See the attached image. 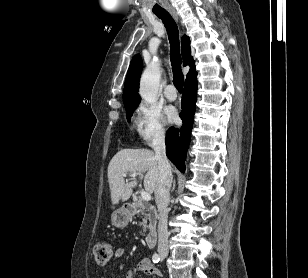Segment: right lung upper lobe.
<instances>
[{"label":"right lung upper lobe","instance_id":"cb5924a9","mask_svg":"<svg viewBox=\"0 0 308 278\" xmlns=\"http://www.w3.org/2000/svg\"><path fill=\"white\" fill-rule=\"evenodd\" d=\"M181 52L183 57L184 66L187 65L189 60L190 71L187 74L186 81L197 76L195 70V63L191 57L190 39L187 36H183L181 40ZM142 71V60L139 54L135 55L131 61L128 69L124 92H123V102L124 106H135L140 103V97L138 95L139 79Z\"/></svg>","mask_w":308,"mask_h":278}]
</instances>
